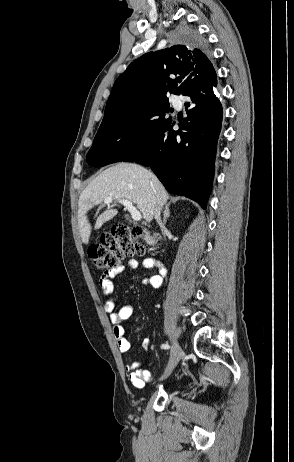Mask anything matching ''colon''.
I'll use <instances>...</instances> for the list:
<instances>
[{"mask_svg":"<svg viewBox=\"0 0 294 462\" xmlns=\"http://www.w3.org/2000/svg\"><path fill=\"white\" fill-rule=\"evenodd\" d=\"M144 233L139 227L115 226L102 236L99 243L90 246L89 258L97 269L109 271L117 267L123 258L145 252V247L136 241Z\"/></svg>","mask_w":294,"mask_h":462,"instance_id":"obj_1","label":"colon"}]
</instances>
